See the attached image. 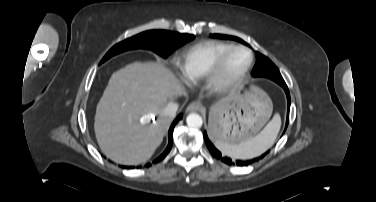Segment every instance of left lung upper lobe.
I'll use <instances>...</instances> for the list:
<instances>
[{"instance_id":"5c2ea615","label":"left lung upper lobe","mask_w":376,"mask_h":202,"mask_svg":"<svg viewBox=\"0 0 376 202\" xmlns=\"http://www.w3.org/2000/svg\"><path fill=\"white\" fill-rule=\"evenodd\" d=\"M210 36L214 38H220V39L236 40L243 44H246L243 40L234 36H227V35H221V34H213ZM256 57H257V61L252 71V75L254 77L263 76V77L272 79L278 84L285 83L278 68L267 57L260 54L259 52H256Z\"/></svg>"}]
</instances>
